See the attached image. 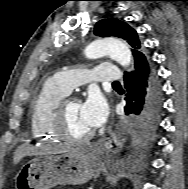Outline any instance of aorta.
Here are the masks:
<instances>
[{"label": "aorta", "instance_id": "aorta-1", "mask_svg": "<svg viewBox=\"0 0 188 189\" xmlns=\"http://www.w3.org/2000/svg\"><path fill=\"white\" fill-rule=\"evenodd\" d=\"M85 55L89 59L108 55L122 66H129L132 60V54L127 44L117 38H104L92 42L85 49Z\"/></svg>", "mask_w": 188, "mask_h": 189}]
</instances>
